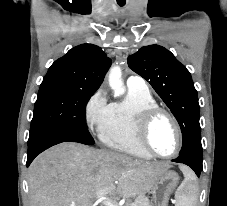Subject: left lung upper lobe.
Segmentation results:
<instances>
[{"label": "left lung upper lobe", "instance_id": "1", "mask_svg": "<svg viewBox=\"0 0 227 206\" xmlns=\"http://www.w3.org/2000/svg\"><path fill=\"white\" fill-rule=\"evenodd\" d=\"M129 67L147 80L177 119L183 144L179 153L202 157L200 107L190 72L167 49L142 47L128 57Z\"/></svg>", "mask_w": 227, "mask_h": 206}]
</instances>
